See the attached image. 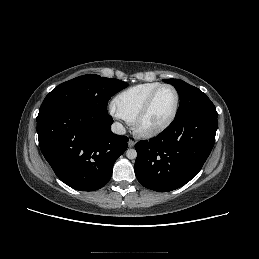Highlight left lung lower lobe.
Here are the masks:
<instances>
[{
  "label": "left lung lower lobe",
  "instance_id": "left-lung-lower-lobe-1",
  "mask_svg": "<svg viewBox=\"0 0 259 259\" xmlns=\"http://www.w3.org/2000/svg\"><path fill=\"white\" fill-rule=\"evenodd\" d=\"M217 114L193 112L176 117L157 137L136 144L135 175L146 188L167 192L189 182L208 158Z\"/></svg>",
  "mask_w": 259,
  "mask_h": 259
}]
</instances>
